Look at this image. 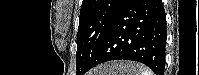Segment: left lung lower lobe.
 Wrapping results in <instances>:
<instances>
[{
	"label": "left lung lower lobe",
	"mask_w": 199,
	"mask_h": 75,
	"mask_svg": "<svg viewBox=\"0 0 199 75\" xmlns=\"http://www.w3.org/2000/svg\"><path fill=\"white\" fill-rule=\"evenodd\" d=\"M166 34L161 0H125L85 72L98 64L124 59L141 62L156 75H164Z\"/></svg>",
	"instance_id": "1"
}]
</instances>
